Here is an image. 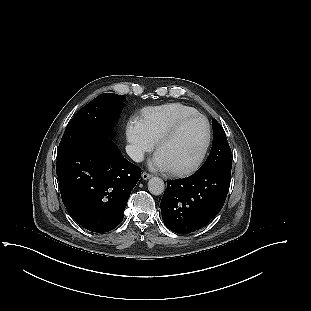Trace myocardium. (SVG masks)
Masks as SVG:
<instances>
[{
    "label": "myocardium",
    "instance_id": "f54148a6",
    "mask_svg": "<svg viewBox=\"0 0 311 311\" xmlns=\"http://www.w3.org/2000/svg\"><path fill=\"white\" fill-rule=\"evenodd\" d=\"M193 118H201L205 123V127H206L205 143H204L203 148L200 151L199 155L197 156V158L193 162H191L190 164H188L186 166L177 167V168H169L168 171L173 175L188 174V173L194 171L195 169H197L201 165L203 160L205 159L206 154L209 150V147L211 144V138H212L211 125H210L209 120L207 119L206 116H204L203 114H201L199 112L192 113V114L186 115L184 117H181L166 132H164L156 142V151L158 152L159 148L165 142L171 140L179 132L181 127L186 122H188L189 120H191Z\"/></svg>",
    "mask_w": 311,
    "mask_h": 311
}]
</instances>
